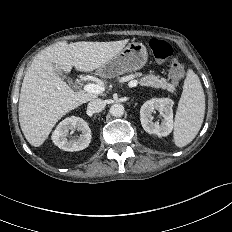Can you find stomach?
I'll return each instance as SVG.
<instances>
[{
	"label": "stomach",
	"mask_w": 232,
	"mask_h": 232,
	"mask_svg": "<svg viewBox=\"0 0 232 232\" xmlns=\"http://www.w3.org/2000/svg\"><path fill=\"white\" fill-rule=\"evenodd\" d=\"M148 54L145 46L140 42H131L110 61L97 69L106 78H114L125 72L141 69L147 62Z\"/></svg>",
	"instance_id": "0dacf381"
}]
</instances>
